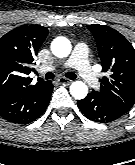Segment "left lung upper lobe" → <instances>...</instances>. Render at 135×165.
Here are the masks:
<instances>
[{"label": "left lung upper lobe", "instance_id": "1", "mask_svg": "<svg viewBox=\"0 0 135 165\" xmlns=\"http://www.w3.org/2000/svg\"><path fill=\"white\" fill-rule=\"evenodd\" d=\"M93 34L101 60L103 77L99 95L127 113L135 103V50L115 29L106 25H87Z\"/></svg>", "mask_w": 135, "mask_h": 165}]
</instances>
